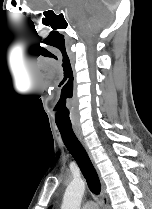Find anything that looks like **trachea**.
<instances>
[{"label": "trachea", "instance_id": "3493384b", "mask_svg": "<svg viewBox=\"0 0 152 209\" xmlns=\"http://www.w3.org/2000/svg\"><path fill=\"white\" fill-rule=\"evenodd\" d=\"M63 142L76 160L83 176L85 177L90 191L99 194L101 190L98 175L79 140L75 136L72 127L58 126Z\"/></svg>", "mask_w": 152, "mask_h": 209}]
</instances>
